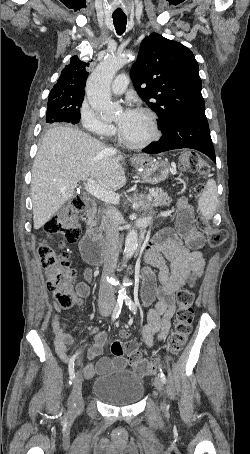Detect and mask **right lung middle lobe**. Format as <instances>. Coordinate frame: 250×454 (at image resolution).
Listing matches in <instances>:
<instances>
[{
  "label": "right lung middle lobe",
  "mask_w": 250,
  "mask_h": 454,
  "mask_svg": "<svg viewBox=\"0 0 250 454\" xmlns=\"http://www.w3.org/2000/svg\"><path fill=\"white\" fill-rule=\"evenodd\" d=\"M48 108L46 112V122H69L76 124L80 120V107L83 97L78 99H64L57 96L48 98Z\"/></svg>",
  "instance_id": "right-lung-middle-lobe-1"
}]
</instances>
